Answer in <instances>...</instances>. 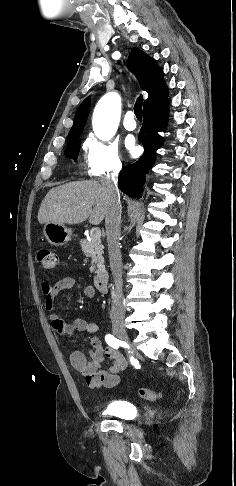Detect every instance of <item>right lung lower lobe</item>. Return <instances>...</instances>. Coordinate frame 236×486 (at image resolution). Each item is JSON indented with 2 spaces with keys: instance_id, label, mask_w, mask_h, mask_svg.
Here are the masks:
<instances>
[{
  "instance_id": "1",
  "label": "right lung lower lobe",
  "mask_w": 236,
  "mask_h": 486,
  "mask_svg": "<svg viewBox=\"0 0 236 486\" xmlns=\"http://www.w3.org/2000/svg\"><path fill=\"white\" fill-rule=\"evenodd\" d=\"M167 113V94L143 107L144 121L138 138L144 146V153L137 162L121 170L118 180V187L130 197H141L145 175L155 162L156 150L163 143V138L158 132L166 127Z\"/></svg>"
}]
</instances>
